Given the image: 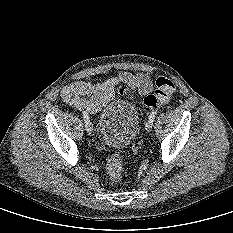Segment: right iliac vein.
Listing matches in <instances>:
<instances>
[{
    "mask_svg": "<svg viewBox=\"0 0 233 233\" xmlns=\"http://www.w3.org/2000/svg\"><path fill=\"white\" fill-rule=\"evenodd\" d=\"M86 130L88 132H92L94 129H93V126L91 124H89L87 127H86Z\"/></svg>",
    "mask_w": 233,
    "mask_h": 233,
    "instance_id": "63e3f726",
    "label": "right iliac vein"
}]
</instances>
